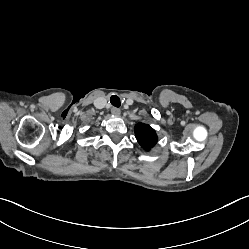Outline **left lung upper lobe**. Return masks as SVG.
<instances>
[{
  "mask_svg": "<svg viewBox=\"0 0 249 249\" xmlns=\"http://www.w3.org/2000/svg\"><path fill=\"white\" fill-rule=\"evenodd\" d=\"M134 131L137 141L145 150H150L157 143L158 137L156 132L149 125L138 123Z\"/></svg>",
  "mask_w": 249,
  "mask_h": 249,
  "instance_id": "obj_1",
  "label": "left lung upper lobe"
}]
</instances>
